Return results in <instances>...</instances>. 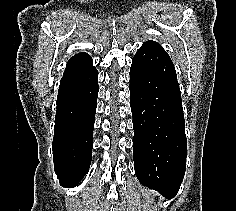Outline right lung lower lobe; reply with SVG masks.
<instances>
[{"mask_svg":"<svg viewBox=\"0 0 236 211\" xmlns=\"http://www.w3.org/2000/svg\"><path fill=\"white\" fill-rule=\"evenodd\" d=\"M98 91L95 67L60 81L52 149L62 186L77 185L89 170Z\"/></svg>","mask_w":236,"mask_h":211,"instance_id":"1","label":"right lung lower lobe"}]
</instances>
